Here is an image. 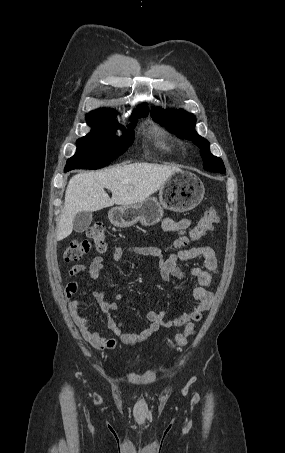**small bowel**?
I'll list each match as a JSON object with an SVG mask.
<instances>
[{
	"label": "small bowel",
	"instance_id": "c3829d8e",
	"mask_svg": "<svg viewBox=\"0 0 285 453\" xmlns=\"http://www.w3.org/2000/svg\"><path fill=\"white\" fill-rule=\"evenodd\" d=\"M191 219L184 218L174 220L165 218L162 228L166 232L176 233L180 239L185 238L187 229L191 226ZM125 253L139 256H155L158 258V269L163 281L171 278L183 279L190 275L193 279L191 283V295L194 303L187 312L167 319L165 311H151L147 314L148 324L140 330L127 328L122 322L116 320L113 312L118 308V302L122 299L121 294H117L114 300L109 301L102 290H94L92 296L97 302L100 310L106 316V326L116 337L103 335L99 331L90 328V320L79 313L80 301L73 298L78 290L77 281L69 282L64 288V296L68 304L69 312L78 327L83 339L97 350H113L119 344L128 346L136 345L152 336L160 329H173L189 324L191 321H199L203 312L208 310L213 301V293L210 291L212 277L218 272L219 262L216 251L210 246L192 247L187 250L179 251L169 257H163L159 250L149 247H122L118 248L112 255L113 260L119 261ZM202 257V266H191L182 268L178 262ZM104 268V260L101 256H96L90 266L75 265L68 274L69 276L87 275L92 281H96Z\"/></svg>",
	"mask_w": 285,
	"mask_h": 453
}]
</instances>
